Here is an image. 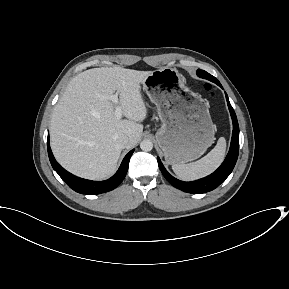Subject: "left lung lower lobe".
Instances as JSON below:
<instances>
[{
	"label": "left lung lower lobe",
	"instance_id": "1",
	"mask_svg": "<svg viewBox=\"0 0 289 289\" xmlns=\"http://www.w3.org/2000/svg\"><path fill=\"white\" fill-rule=\"evenodd\" d=\"M219 86L222 87L221 84H219ZM226 100H227V104H228L232 121H233V133H232L231 145H230V150L226 159L221 164V166L211 175L205 178L193 181V182H184L171 176L164 168L160 159L157 158L158 165H159L161 172L163 173L164 177L169 181V183L172 184L174 187L184 192L194 193V194L209 192L217 188L232 172L236 164V161L238 158V152H239V125H238L236 114L229 102L227 94H226Z\"/></svg>",
	"mask_w": 289,
	"mask_h": 289
}]
</instances>
